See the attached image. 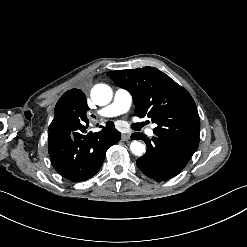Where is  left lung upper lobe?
<instances>
[{
    "label": "left lung upper lobe",
    "mask_w": 247,
    "mask_h": 247,
    "mask_svg": "<svg viewBox=\"0 0 247 247\" xmlns=\"http://www.w3.org/2000/svg\"><path fill=\"white\" fill-rule=\"evenodd\" d=\"M107 75L131 93L136 116H147L157 124L155 135L198 148L200 119L187 90L153 67L111 71Z\"/></svg>",
    "instance_id": "5c2ea615"
}]
</instances>
